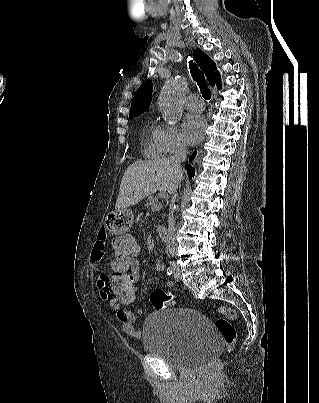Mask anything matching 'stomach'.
<instances>
[{
    "instance_id": "0dacf381",
    "label": "stomach",
    "mask_w": 319,
    "mask_h": 403,
    "mask_svg": "<svg viewBox=\"0 0 319 403\" xmlns=\"http://www.w3.org/2000/svg\"><path fill=\"white\" fill-rule=\"evenodd\" d=\"M105 225L111 234H130L134 228L132 212L128 210H116L106 216Z\"/></svg>"
}]
</instances>
